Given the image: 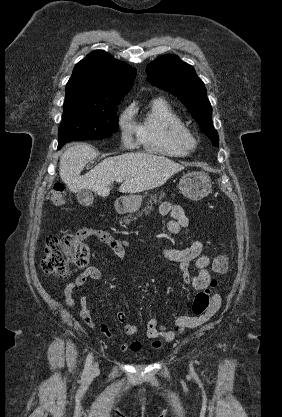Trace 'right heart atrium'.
<instances>
[{
    "label": "right heart atrium",
    "mask_w": 282,
    "mask_h": 417,
    "mask_svg": "<svg viewBox=\"0 0 282 417\" xmlns=\"http://www.w3.org/2000/svg\"><path fill=\"white\" fill-rule=\"evenodd\" d=\"M120 126L122 129V140L124 144L128 147L133 146V138L136 134L135 124L131 121L129 117L125 116L121 120Z\"/></svg>",
    "instance_id": "1"
}]
</instances>
